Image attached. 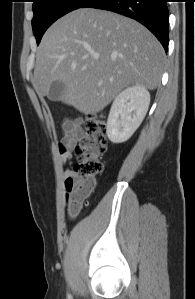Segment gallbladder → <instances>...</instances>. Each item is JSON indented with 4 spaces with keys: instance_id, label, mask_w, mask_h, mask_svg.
<instances>
[{
    "instance_id": "1",
    "label": "gallbladder",
    "mask_w": 195,
    "mask_h": 299,
    "mask_svg": "<svg viewBox=\"0 0 195 299\" xmlns=\"http://www.w3.org/2000/svg\"><path fill=\"white\" fill-rule=\"evenodd\" d=\"M66 85L61 81H55L51 84L48 98L51 101H58L60 96L65 92Z\"/></svg>"
}]
</instances>
